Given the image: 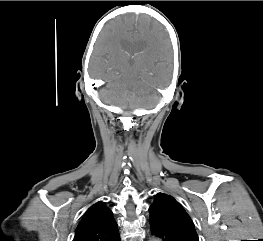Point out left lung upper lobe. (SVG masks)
I'll return each mask as SVG.
<instances>
[{
  "instance_id": "1",
  "label": "left lung upper lobe",
  "mask_w": 263,
  "mask_h": 241,
  "mask_svg": "<svg viewBox=\"0 0 263 241\" xmlns=\"http://www.w3.org/2000/svg\"><path fill=\"white\" fill-rule=\"evenodd\" d=\"M149 212V222L167 229L185 241H199L193 221L172 196L163 193L155 195Z\"/></svg>"
}]
</instances>
